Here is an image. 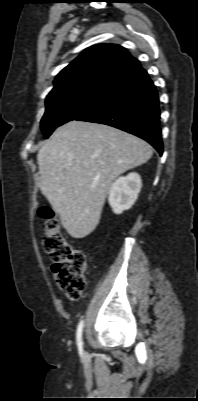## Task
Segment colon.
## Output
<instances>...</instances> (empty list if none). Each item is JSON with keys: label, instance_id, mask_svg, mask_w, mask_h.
<instances>
[{"label": "colon", "instance_id": "1", "mask_svg": "<svg viewBox=\"0 0 198 401\" xmlns=\"http://www.w3.org/2000/svg\"><path fill=\"white\" fill-rule=\"evenodd\" d=\"M39 216L44 221L43 248L53 262L55 281L70 300H78L86 286L87 257L62 234L52 209L41 207Z\"/></svg>", "mask_w": 198, "mask_h": 401}]
</instances>
